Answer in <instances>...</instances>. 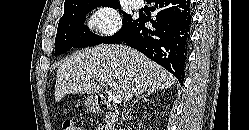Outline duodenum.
Wrapping results in <instances>:
<instances>
[{"mask_svg": "<svg viewBox=\"0 0 249 130\" xmlns=\"http://www.w3.org/2000/svg\"><path fill=\"white\" fill-rule=\"evenodd\" d=\"M97 107L102 114H115L114 107L103 97L97 99Z\"/></svg>", "mask_w": 249, "mask_h": 130, "instance_id": "1", "label": "duodenum"}]
</instances>
